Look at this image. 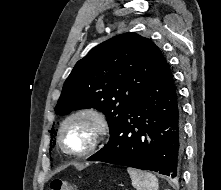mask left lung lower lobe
<instances>
[{
	"mask_svg": "<svg viewBox=\"0 0 221 190\" xmlns=\"http://www.w3.org/2000/svg\"><path fill=\"white\" fill-rule=\"evenodd\" d=\"M182 155L181 108L166 62L133 108L110 129L108 143L88 160L176 178L180 174Z\"/></svg>",
	"mask_w": 221,
	"mask_h": 190,
	"instance_id": "left-lung-lower-lobe-1",
	"label": "left lung lower lobe"
}]
</instances>
